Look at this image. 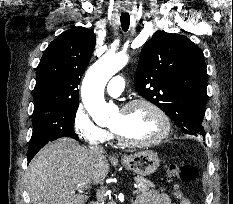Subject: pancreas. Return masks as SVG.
Masks as SVG:
<instances>
[{
	"mask_svg": "<svg viewBox=\"0 0 233 204\" xmlns=\"http://www.w3.org/2000/svg\"><path fill=\"white\" fill-rule=\"evenodd\" d=\"M135 182L138 185L137 193H146L150 188L155 187L154 183L141 176L135 177Z\"/></svg>",
	"mask_w": 233,
	"mask_h": 204,
	"instance_id": "obj_1",
	"label": "pancreas"
}]
</instances>
